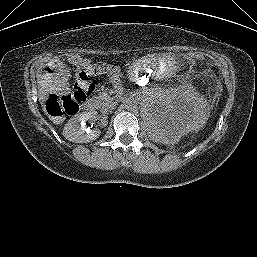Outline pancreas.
Returning <instances> with one entry per match:
<instances>
[{
	"mask_svg": "<svg viewBox=\"0 0 257 257\" xmlns=\"http://www.w3.org/2000/svg\"><path fill=\"white\" fill-rule=\"evenodd\" d=\"M97 99L99 100V102H100V103H102V102H103V97H102L101 95H100V96H98V97H97Z\"/></svg>",
	"mask_w": 257,
	"mask_h": 257,
	"instance_id": "pancreas-1",
	"label": "pancreas"
}]
</instances>
